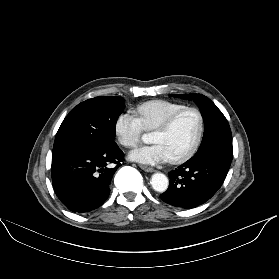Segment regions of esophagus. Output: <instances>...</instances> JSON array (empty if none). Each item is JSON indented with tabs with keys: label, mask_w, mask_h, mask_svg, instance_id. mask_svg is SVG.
<instances>
[{
	"label": "esophagus",
	"mask_w": 279,
	"mask_h": 279,
	"mask_svg": "<svg viewBox=\"0 0 279 279\" xmlns=\"http://www.w3.org/2000/svg\"><path fill=\"white\" fill-rule=\"evenodd\" d=\"M140 168L146 172H154V168L150 167V166H146V165H140Z\"/></svg>",
	"instance_id": "obj_1"
}]
</instances>
